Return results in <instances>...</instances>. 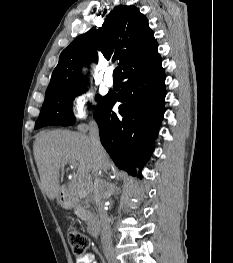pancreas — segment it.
<instances>
[{
	"instance_id": "obj_1",
	"label": "pancreas",
	"mask_w": 233,
	"mask_h": 263,
	"mask_svg": "<svg viewBox=\"0 0 233 263\" xmlns=\"http://www.w3.org/2000/svg\"><path fill=\"white\" fill-rule=\"evenodd\" d=\"M74 198L77 202L75 206V214L83 221L87 222V224H91L94 220L93 212L90 208L89 203L83 201V197L80 193L79 187L76 189L74 193Z\"/></svg>"
}]
</instances>
